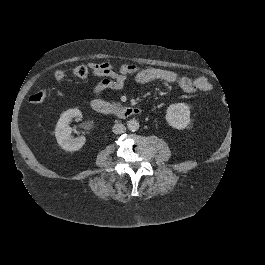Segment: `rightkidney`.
Wrapping results in <instances>:
<instances>
[{
	"label": "right kidney",
	"instance_id": "ca27d5eb",
	"mask_svg": "<svg viewBox=\"0 0 265 265\" xmlns=\"http://www.w3.org/2000/svg\"><path fill=\"white\" fill-rule=\"evenodd\" d=\"M74 117H81V112L78 109L66 111L58 120L55 129L58 146L61 150L67 152L80 150L86 142V138L84 136H80L77 139L72 138V129L70 128V124L73 122Z\"/></svg>",
	"mask_w": 265,
	"mask_h": 265
}]
</instances>
